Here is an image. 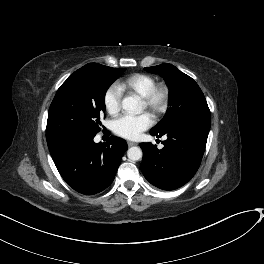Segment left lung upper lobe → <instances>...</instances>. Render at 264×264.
I'll list each match as a JSON object with an SVG mask.
<instances>
[{
  "instance_id": "1",
  "label": "left lung upper lobe",
  "mask_w": 264,
  "mask_h": 264,
  "mask_svg": "<svg viewBox=\"0 0 264 264\" xmlns=\"http://www.w3.org/2000/svg\"><path fill=\"white\" fill-rule=\"evenodd\" d=\"M144 69L163 76L171 91L170 108L150 133L164 134L174 125L189 118L211 117L204 94L191 77L168 63Z\"/></svg>"
}]
</instances>
